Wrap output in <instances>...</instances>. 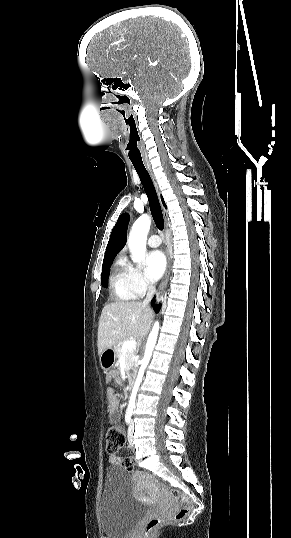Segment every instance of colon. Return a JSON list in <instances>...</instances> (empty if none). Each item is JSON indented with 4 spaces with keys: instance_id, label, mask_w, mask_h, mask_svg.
Masks as SVG:
<instances>
[{
    "instance_id": "obj_1",
    "label": "colon",
    "mask_w": 291,
    "mask_h": 538,
    "mask_svg": "<svg viewBox=\"0 0 291 538\" xmlns=\"http://www.w3.org/2000/svg\"><path fill=\"white\" fill-rule=\"evenodd\" d=\"M124 442L125 438L119 427L111 426L107 429L106 448L109 453H116L124 445ZM120 465L127 471H132L134 468V463L131 458L121 459ZM175 497L180 500L181 506L167 518L158 516L150 518L144 528V535L146 538H150L166 520H181L189 514L191 510L189 500L179 493H175Z\"/></svg>"
}]
</instances>
